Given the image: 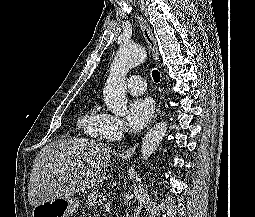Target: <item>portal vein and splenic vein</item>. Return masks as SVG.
Listing matches in <instances>:
<instances>
[{
	"label": "portal vein and splenic vein",
	"mask_w": 255,
	"mask_h": 217,
	"mask_svg": "<svg viewBox=\"0 0 255 217\" xmlns=\"http://www.w3.org/2000/svg\"><path fill=\"white\" fill-rule=\"evenodd\" d=\"M110 204H111L110 202H106V203H105V207H106V208H109V207H110Z\"/></svg>",
	"instance_id": "obj_1"
}]
</instances>
